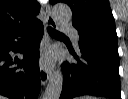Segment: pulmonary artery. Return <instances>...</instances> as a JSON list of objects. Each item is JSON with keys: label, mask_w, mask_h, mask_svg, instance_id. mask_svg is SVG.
Returning a JSON list of instances; mask_svg holds the SVG:
<instances>
[{"label": "pulmonary artery", "mask_w": 128, "mask_h": 99, "mask_svg": "<svg viewBox=\"0 0 128 99\" xmlns=\"http://www.w3.org/2000/svg\"><path fill=\"white\" fill-rule=\"evenodd\" d=\"M60 28H61V30H63L64 32L69 33L72 36V38L74 40V44L78 48L79 35H78L77 30L74 27H72V26H70L68 24H64V23L61 24Z\"/></svg>", "instance_id": "obj_1"}]
</instances>
